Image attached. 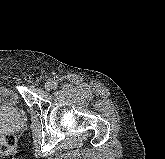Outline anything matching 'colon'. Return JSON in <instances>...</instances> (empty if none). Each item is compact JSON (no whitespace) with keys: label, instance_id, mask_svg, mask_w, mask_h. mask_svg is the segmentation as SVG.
I'll return each mask as SVG.
<instances>
[{"label":"colon","instance_id":"5ec220e1","mask_svg":"<svg viewBox=\"0 0 165 159\" xmlns=\"http://www.w3.org/2000/svg\"><path fill=\"white\" fill-rule=\"evenodd\" d=\"M16 145V138L11 133H5L0 135V154L8 155L10 154Z\"/></svg>","mask_w":165,"mask_h":159}]
</instances>
